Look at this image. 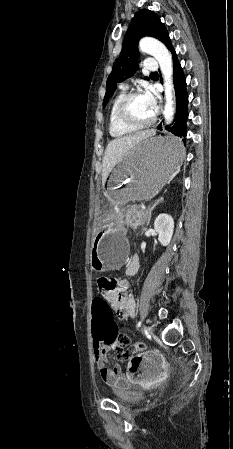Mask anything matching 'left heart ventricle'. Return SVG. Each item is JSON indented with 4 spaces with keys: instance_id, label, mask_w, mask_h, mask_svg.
Listing matches in <instances>:
<instances>
[{
    "instance_id": "left-heart-ventricle-1",
    "label": "left heart ventricle",
    "mask_w": 233,
    "mask_h": 449,
    "mask_svg": "<svg viewBox=\"0 0 233 449\" xmlns=\"http://www.w3.org/2000/svg\"><path fill=\"white\" fill-rule=\"evenodd\" d=\"M128 111L131 117L139 122H145L154 115V111L143 94L130 101Z\"/></svg>"
}]
</instances>
